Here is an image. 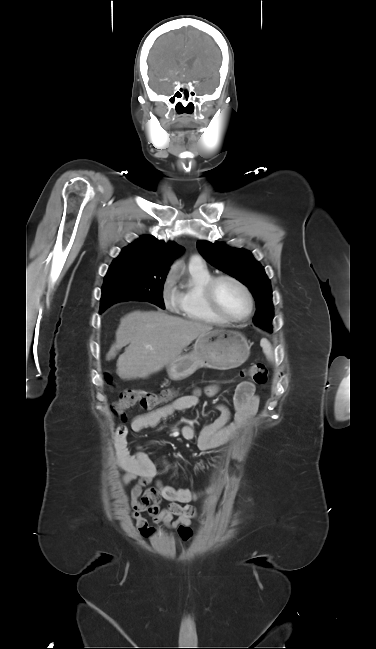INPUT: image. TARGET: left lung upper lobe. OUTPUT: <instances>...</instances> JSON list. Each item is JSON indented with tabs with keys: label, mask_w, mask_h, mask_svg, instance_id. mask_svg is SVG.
Masks as SVG:
<instances>
[{
	"label": "left lung upper lobe",
	"mask_w": 376,
	"mask_h": 649,
	"mask_svg": "<svg viewBox=\"0 0 376 649\" xmlns=\"http://www.w3.org/2000/svg\"><path fill=\"white\" fill-rule=\"evenodd\" d=\"M197 247L210 264L235 277L253 292L257 308L253 322L271 330L274 313L270 280L251 252L230 248L222 242L198 241Z\"/></svg>",
	"instance_id": "5c2ea615"
}]
</instances>
